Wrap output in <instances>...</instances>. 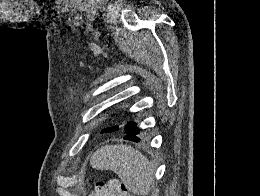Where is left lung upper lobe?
<instances>
[{"label": "left lung upper lobe", "mask_w": 260, "mask_h": 196, "mask_svg": "<svg viewBox=\"0 0 260 196\" xmlns=\"http://www.w3.org/2000/svg\"><path fill=\"white\" fill-rule=\"evenodd\" d=\"M123 127H124V130H125V127H126L125 122L121 124V127H119L118 125H115V126H112V127L105 128V129H103L102 133L114 132V131H117L119 129H122Z\"/></svg>", "instance_id": "obj_1"}]
</instances>
